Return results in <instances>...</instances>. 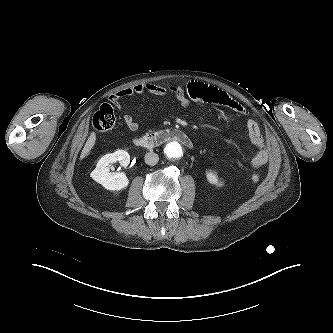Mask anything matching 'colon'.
<instances>
[{
	"mask_svg": "<svg viewBox=\"0 0 333 333\" xmlns=\"http://www.w3.org/2000/svg\"><path fill=\"white\" fill-rule=\"evenodd\" d=\"M115 124V114L111 105L102 104L97 112L94 114L92 120V127L98 132H105L110 130ZM252 182L256 183L260 180L258 174L251 176Z\"/></svg>",
	"mask_w": 333,
	"mask_h": 333,
	"instance_id": "obj_1",
	"label": "colon"
}]
</instances>
